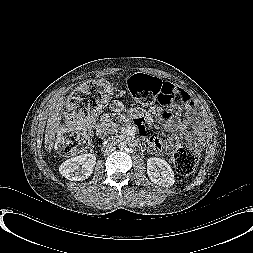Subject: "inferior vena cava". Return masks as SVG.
Masks as SVG:
<instances>
[{
    "label": "inferior vena cava",
    "instance_id": "inferior-vena-cava-1",
    "mask_svg": "<svg viewBox=\"0 0 253 253\" xmlns=\"http://www.w3.org/2000/svg\"><path fill=\"white\" fill-rule=\"evenodd\" d=\"M110 151H113V148L105 150V153H108Z\"/></svg>",
    "mask_w": 253,
    "mask_h": 253
}]
</instances>
